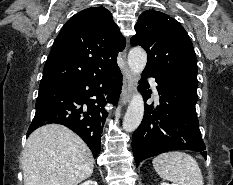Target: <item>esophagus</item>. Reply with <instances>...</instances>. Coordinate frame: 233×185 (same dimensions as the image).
Masks as SVG:
<instances>
[{"label":"esophagus","mask_w":233,"mask_h":185,"mask_svg":"<svg viewBox=\"0 0 233 185\" xmlns=\"http://www.w3.org/2000/svg\"><path fill=\"white\" fill-rule=\"evenodd\" d=\"M123 57L126 58V53H124ZM122 74V104L125 105L130 101L134 90V77L127 66L123 68Z\"/></svg>","instance_id":"1"}]
</instances>
